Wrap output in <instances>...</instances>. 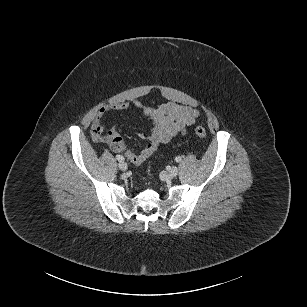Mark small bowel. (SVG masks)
<instances>
[{
    "mask_svg": "<svg viewBox=\"0 0 307 307\" xmlns=\"http://www.w3.org/2000/svg\"><path fill=\"white\" fill-rule=\"evenodd\" d=\"M130 107L128 102L117 103L102 107L96 114L92 126L91 137L96 142L108 141L109 134L104 135L103 120L110 111L126 110ZM136 111H142L152 123V130L149 135H141L145 140V146L139 153H134L126 146L123 150L125 156L133 164H141L153 155L161 144H166L178 135H185L187 129L194 125L199 117V112L186 105L175 102H167L157 107L142 106L139 102L133 105Z\"/></svg>",
    "mask_w": 307,
    "mask_h": 307,
    "instance_id": "obj_1",
    "label": "small bowel"
}]
</instances>
